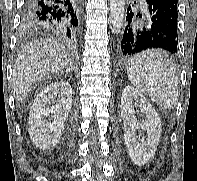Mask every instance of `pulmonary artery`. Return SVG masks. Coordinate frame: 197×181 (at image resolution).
I'll return each mask as SVG.
<instances>
[{
    "instance_id": "1",
    "label": "pulmonary artery",
    "mask_w": 197,
    "mask_h": 181,
    "mask_svg": "<svg viewBox=\"0 0 197 181\" xmlns=\"http://www.w3.org/2000/svg\"><path fill=\"white\" fill-rule=\"evenodd\" d=\"M140 1H141V7L143 9H146L147 8V4H146L145 0H140Z\"/></svg>"
}]
</instances>
